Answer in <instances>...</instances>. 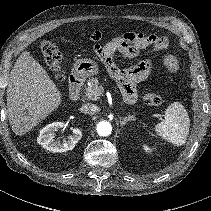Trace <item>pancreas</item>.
<instances>
[{"label": "pancreas", "mask_w": 211, "mask_h": 211, "mask_svg": "<svg viewBox=\"0 0 211 211\" xmlns=\"http://www.w3.org/2000/svg\"><path fill=\"white\" fill-rule=\"evenodd\" d=\"M104 89L99 83L98 78H91L88 81V86L84 90V96L88 100L97 101L103 95Z\"/></svg>", "instance_id": "1"}]
</instances>
